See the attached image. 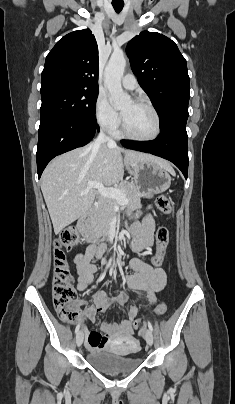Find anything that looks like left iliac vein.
Returning a JSON list of instances; mask_svg holds the SVG:
<instances>
[{"label":"left iliac vein","instance_id":"1","mask_svg":"<svg viewBox=\"0 0 235 404\" xmlns=\"http://www.w3.org/2000/svg\"><path fill=\"white\" fill-rule=\"evenodd\" d=\"M145 340L148 345L151 346L153 344L154 339H153V334L150 329L145 330Z\"/></svg>","mask_w":235,"mask_h":404}]
</instances>
